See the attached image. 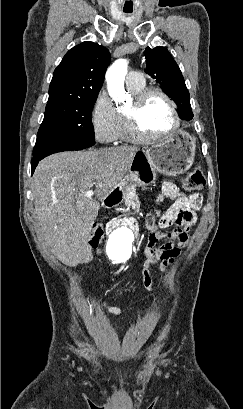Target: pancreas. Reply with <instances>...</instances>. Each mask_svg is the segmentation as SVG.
Wrapping results in <instances>:
<instances>
[{
  "label": "pancreas",
  "mask_w": 243,
  "mask_h": 409,
  "mask_svg": "<svg viewBox=\"0 0 243 409\" xmlns=\"http://www.w3.org/2000/svg\"><path fill=\"white\" fill-rule=\"evenodd\" d=\"M136 186L137 184H132L126 187V192L124 194L125 205L130 207L134 205V200L136 197Z\"/></svg>",
  "instance_id": "1"
}]
</instances>
